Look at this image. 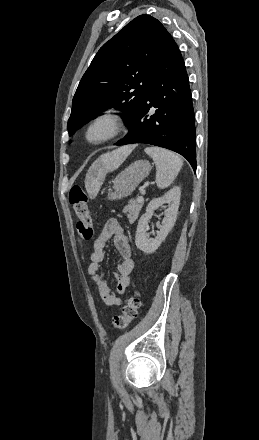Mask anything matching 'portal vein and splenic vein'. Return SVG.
Instances as JSON below:
<instances>
[{"label":"portal vein and splenic vein","mask_w":259,"mask_h":440,"mask_svg":"<svg viewBox=\"0 0 259 440\" xmlns=\"http://www.w3.org/2000/svg\"><path fill=\"white\" fill-rule=\"evenodd\" d=\"M141 194L143 195L144 194V192H141ZM138 196L137 197V201H139V202H142V201H144V198H143V196Z\"/></svg>","instance_id":"obj_1"}]
</instances>
